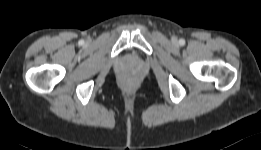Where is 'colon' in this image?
<instances>
[{
	"label": "colon",
	"mask_w": 261,
	"mask_h": 150,
	"mask_svg": "<svg viewBox=\"0 0 261 150\" xmlns=\"http://www.w3.org/2000/svg\"><path fill=\"white\" fill-rule=\"evenodd\" d=\"M128 83H129V84H131V83H132V81H131V80H128Z\"/></svg>",
	"instance_id": "obj_1"
}]
</instances>
